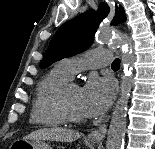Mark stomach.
<instances>
[{"label":"stomach","mask_w":155,"mask_h":149,"mask_svg":"<svg viewBox=\"0 0 155 149\" xmlns=\"http://www.w3.org/2000/svg\"><path fill=\"white\" fill-rule=\"evenodd\" d=\"M13 149H52L49 142L43 139L24 140L20 139L12 144Z\"/></svg>","instance_id":"1"}]
</instances>
